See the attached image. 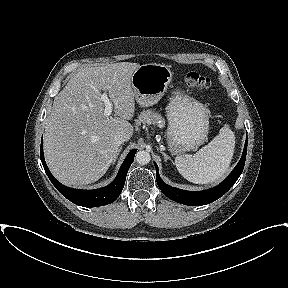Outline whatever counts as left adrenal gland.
Segmentation results:
<instances>
[{
	"label": "left adrenal gland",
	"mask_w": 288,
	"mask_h": 288,
	"mask_svg": "<svg viewBox=\"0 0 288 288\" xmlns=\"http://www.w3.org/2000/svg\"><path fill=\"white\" fill-rule=\"evenodd\" d=\"M161 153L164 156L165 161L171 160L173 162V160L170 158V156H168L165 152H161Z\"/></svg>",
	"instance_id": "1"
}]
</instances>
